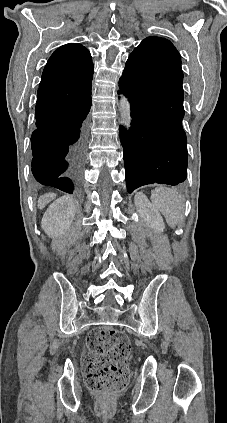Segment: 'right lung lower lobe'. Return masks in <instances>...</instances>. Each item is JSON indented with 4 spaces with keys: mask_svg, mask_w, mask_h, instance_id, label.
<instances>
[{
    "mask_svg": "<svg viewBox=\"0 0 227 423\" xmlns=\"http://www.w3.org/2000/svg\"><path fill=\"white\" fill-rule=\"evenodd\" d=\"M91 94L48 101L37 96L31 136L32 173L37 182L72 194L78 188L86 152L85 118Z\"/></svg>",
    "mask_w": 227,
    "mask_h": 423,
    "instance_id": "98d812e1",
    "label": "right lung lower lobe"
}]
</instances>
